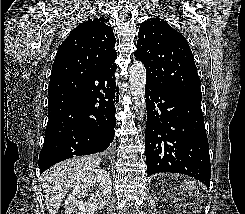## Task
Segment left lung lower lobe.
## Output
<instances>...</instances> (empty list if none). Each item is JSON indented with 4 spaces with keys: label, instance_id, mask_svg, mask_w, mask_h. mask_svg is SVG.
<instances>
[{
    "label": "left lung lower lobe",
    "instance_id": "0a47b994",
    "mask_svg": "<svg viewBox=\"0 0 245 214\" xmlns=\"http://www.w3.org/2000/svg\"><path fill=\"white\" fill-rule=\"evenodd\" d=\"M147 176L159 172L186 174L210 185V155L202 94L165 91L146 83Z\"/></svg>",
    "mask_w": 245,
    "mask_h": 214
}]
</instances>
